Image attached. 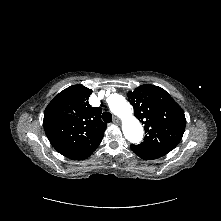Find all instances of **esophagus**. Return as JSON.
Here are the masks:
<instances>
[{"mask_svg": "<svg viewBox=\"0 0 221 221\" xmlns=\"http://www.w3.org/2000/svg\"><path fill=\"white\" fill-rule=\"evenodd\" d=\"M113 123H114V124H119V123H120L119 118H118V117H114Z\"/></svg>", "mask_w": 221, "mask_h": 221, "instance_id": "34e87169", "label": "esophagus"}]
</instances>
